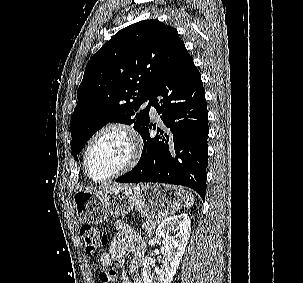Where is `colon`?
<instances>
[{
  "instance_id": "obj_1",
  "label": "colon",
  "mask_w": 303,
  "mask_h": 283,
  "mask_svg": "<svg viewBox=\"0 0 303 283\" xmlns=\"http://www.w3.org/2000/svg\"><path fill=\"white\" fill-rule=\"evenodd\" d=\"M81 238L84 248L89 254H95L99 249L104 247L108 242V234L105 230L96 228L92 225H85L81 229ZM117 271L106 269L99 275L101 283H114L117 279Z\"/></svg>"
}]
</instances>
